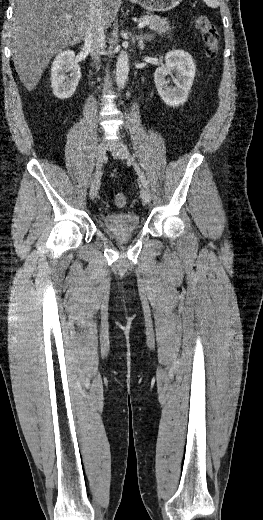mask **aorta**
<instances>
[{
	"label": "aorta",
	"mask_w": 263,
	"mask_h": 520,
	"mask_svg": "<svg viewBox=\"0 0 263 520\" xmlns=\"http://www.w3.org/2000/svg\"><path fill=\"white\" fill-rule=\"evenodd\" d=\"M129 74V58L126 51H121L116 62V83L119 90L124 89Z\"/></svg>",
	"instance_id": "1"
}]
</instances>
